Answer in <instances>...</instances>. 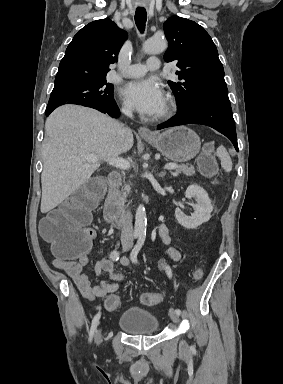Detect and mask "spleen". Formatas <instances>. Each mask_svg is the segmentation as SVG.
Segmentation results:
<instances>
[{"instance_id":"3e777b00","label":"spleen","mask_w":283,"mask_h":384,"mask_svg":"<svg viewBox=\"0 0 283 384\" xmlns=\"http://www.w3.org/2000/svg\"><path fill=\"white\" fill-rule=\"evenodd\" d=\"M216 156L221 160V166L225 172H231L232 170V160L224 146H219L216 150Z\"/></svg>"}]
</instances>
